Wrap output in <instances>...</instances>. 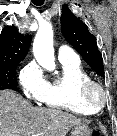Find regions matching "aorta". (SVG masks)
Here are the masks:
<instances>
[{
	"label": "aorta",
	"instance_id": "aorta-1",
	"mask_svg": "<svg viewBox=\"0 0 117 136\" xmlns=\"http://www.w3.org/2000/svg\"><path fill=\"white\" fill-rule=\"evenodd\" d=\"M33 53L37 62L48 70H54L55 57L53 47V29L49 22L40 23L33 43Z\"/></svg>",
	"mask_w": 117,
	"mask_h": 136
}]
</instances>
